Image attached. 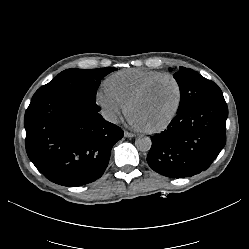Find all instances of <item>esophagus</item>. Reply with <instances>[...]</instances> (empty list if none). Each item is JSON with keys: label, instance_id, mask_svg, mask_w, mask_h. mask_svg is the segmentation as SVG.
Returning a JSON list of instances; mask_svg holds the SVG:
<instances>
[{"label": "esophagus", "instance_id": "34e87169", "mask_svg": "<svg viewBox=\"0 0 249 249\" xmlns=\"http://www.w3.org/2000/svg\"><path fill=\"white\" fill-rule=\"evenodd\" d=\"M124 136H125V137H128V138H132V137H135L136 134H133V133L128 132V131H124Z\"/></svg>", "mask_w": 249, "mask_h": 249}]
</instances>
